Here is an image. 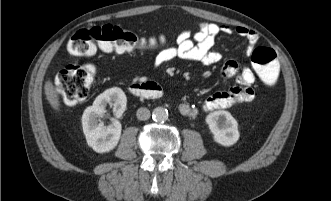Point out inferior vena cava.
Returning <instances> with one entry per match:
<instances>
[{
    "label": "inferior vena cava",
    "instance_id": "obj_1",
    "mask_svg": "<svg viewBox=\"0 0 331 201\" xmlns=\"http://www.w3.org/2000/svg\"><path fill=\"white\" fill-rule=\"evenodd\" d=\"M136 116L139 120L145 121L148 120L151 116L149 109L141 107L137 110Z\"/></svg>",
    "mask_w": 331,
    "mask_h": 201
}]
</instances>
